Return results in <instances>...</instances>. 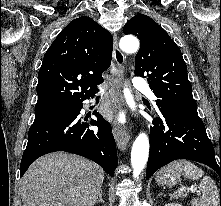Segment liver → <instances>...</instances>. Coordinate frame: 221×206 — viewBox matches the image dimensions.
Here are the masks:
<instances>
[{"label": "liver", "instance_id": "1", "mask_svg": "<svg viewBox=\"0 0 221 206\" xmlns=\"http://www.w3.org/2000/svg\"><path fill=\"white\" fill-rule=\"evenodd\" d=\"M103 181L98 164L69 153H50L22 177L23 206H94Z\"/></svg>", "mask_w": 221, "mask_h": 206}]
</instances>
